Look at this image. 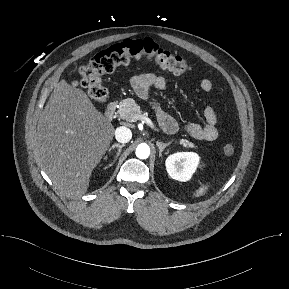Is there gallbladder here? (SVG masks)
Wrapping results in <instances>:
<instances>
[{
  "instance_id": "gallbladder-1",
  "label": "gallbladder",
  "mask_w": 289,
  "mask_h": 289,
  "mask_svg": "<svg viewBox=\"0 0 289 289\" xmlns=\"http://www.w3.org/2000/svg\"><path fill=\"white\" fill-rule=\"evenodd\" d=\"M72 85H73V86H77V85H78V82H77V81H73V82H72Z\"/></svg>"
}]
</instances>
